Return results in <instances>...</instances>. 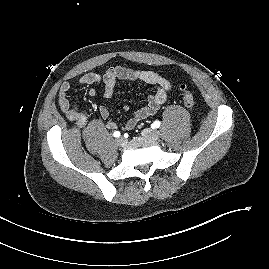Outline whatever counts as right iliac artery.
Here are the masks:
<instances>
[{"label": "right iliac artery", "mask_w": 269, "mask_h": 269, "mask_svg": "<svg viewBox=\"0 0 269 269\" xmlns=\"http://www.w3.org/2000/svg\"><path fill=\"white\" fill-rule=\"evenodd\" d=\"M113 136H114V137H119V136H120V132H119V131H115V132L113 133Z\"/></svg>", "instance_id": "1"}]
</instances>
